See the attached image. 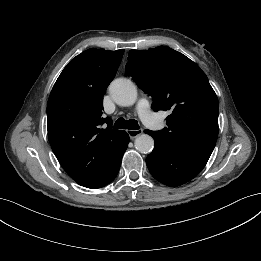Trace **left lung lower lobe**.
I'll list each match as a JSON object with an SVG mask.
<instances>
[{"mask_svg": "<svg viewBox=\"0 0 261 261\" xmlns=\"http://www.w3.org/2000/svg\"><path fill=\"white\" fill-rule=\"evenodd\" d=\"M155 146L146 158L152 176L168 186L182 185L196 177L205 167L211 153L190 152L176 149L163 140L154 137Z\"/></svg>", "mask_w": 261, "mask_h": 261, "instance_id": "0a47b994", "label": "left lung lower lobe"}]
</instances>
